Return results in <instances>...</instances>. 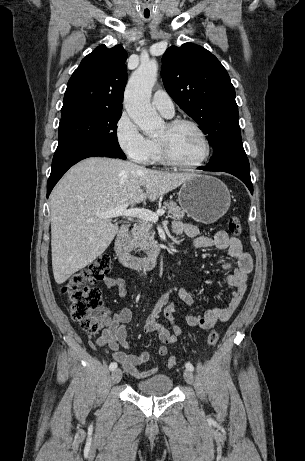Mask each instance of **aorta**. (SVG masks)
Masks as SVG:
<instances>
[{
  "label": "aorta",
  "mask_w": 305,
  "mask_h": 461,
  "mask_svg": "<svg viewBox=\"0 0 305 461\" xmlns=\"http://www.w3.org/2000/svg\"><path fill=\"white\" fill-rule=\"evenodd\" d=\"M157 71L158 65L155 61H143L131 75L124 94V106L129 117L147 136L160 134L164 124L150 103Z\"/></svg>",
  "instance_id": "762f6f07"
}]
</instances>
